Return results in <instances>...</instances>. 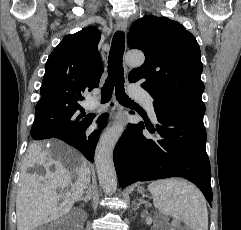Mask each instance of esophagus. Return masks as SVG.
<instances>
[{"instance_id": "obj_1", "label": "esophagus", "mask_w": 241, "mask_h": 230, "mask_svg": "<svg viewBox=\"0 0 241 230\" xmlns=\"http://www.w3.org/2000/svg\"><path fill=\"white\" fill-rule=\"evenodd\" d=\"M126 28H127L126 23L123 20L119 19L116 24V29L125 32ZM123 119H124L123 109L119 108L118 112L114 118L113 125H117V124L121 123L123 121Z\"/></svg>"}]
</instances>
